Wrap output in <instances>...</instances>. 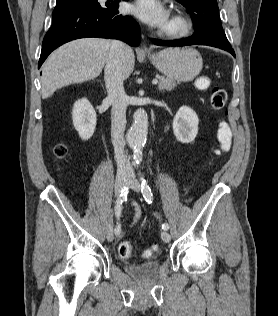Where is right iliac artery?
Returning <instances> with one entry per match:
<instances>
[{
	"label": "right iliac artery",
	"mask_w": 278,
	"mask_h": 316,
	"mask_svg": "<svg viewBox=\"0 0 278 316\" xmlns=\"http://www.w3.org/2000/svg\"><path fill=\"white\" fill-rule=\"evenodd\" d=\"M127 194H128V188L126 186H124L121 190V193H120V196H119V199L116 203V206H115V215L117 218H119V216L121 215V210H122V202L124 199L127 198ZM114 232L116 235H119L121 233V226L120 224H117L115 229H114Z\"/></svg>",
	"instance_id": "right-iliac-artery-1"
}]
</instances>
